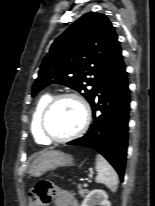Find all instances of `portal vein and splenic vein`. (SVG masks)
<instances>
[{"label":"portal vein and splenic vein","instance_id":"obj_1","mask_svg":"<svg viewBox=\"0 0 155 206\" xmlns=\"http://www.w3.org/2000/svg\"><path fill=\"white\" fill-rule=\"evenodd\" d=\"M84 187H87L88 185L86 184V183H84V185H83Z\"/></svg>","mask_w":155,"mask_h":206}]
</instances>
